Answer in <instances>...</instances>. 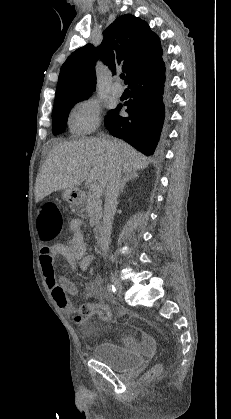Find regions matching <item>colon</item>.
<instances>
[{"mask_svg": "<svg viewBox=\"0 0 231 419\" xmlns=\"http://www.w3.org/2000/svg\"><path fill=\"white\" fill-rule=\"evenodd\" d=\"M63 225L62 214L57 204L52 200H44L38 209V228L41 239L43 241L55 240ZM79 312L82 317L87 318L94 314L99 315L102 319L108 320L111 318L110 310L107 307H98L94 304H85L79 307ZM159 373V368H153L145 375L146 379H150Z\"/></svg>", "mask_w": 231, "mask_h": 419, "instance_id": "5ec220e1", "label": "colon"}]
</instances>
